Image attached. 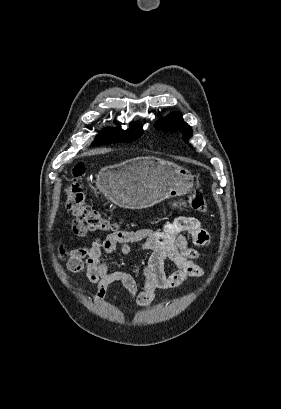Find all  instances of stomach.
<instances>
[{
    "label": "stomach",
    "mask_w": 281,
    "mask_h": 409,
    "mask_svg": "<svg viewBox=\"0 0 281 409\" xmlns=\"http://www.w3.org/2000/svg\"><path fill=\"white\" fill-rule=\"evenodd\" d=\"M96 186L118 207L147 209L165 198L188 194L194 188V176L171 160L136 156L101 168Z\"/></svg>",
    "instance_id": "0dacf381"
}]
</instances>
